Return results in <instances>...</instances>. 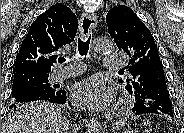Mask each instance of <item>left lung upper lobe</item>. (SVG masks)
Instances as JSON below:
<instances>
[{
	"instance_id": "1",
	"label": "left lung upper lobe",
	"mask_w": 184,
	"mask_h": 133,
	"mask_svg": "<svg viewBox=\"0 0 184 133\" xmlns=\"http://www.w3.org/2000/svg\"><path fill=\"white\" fill-rule=\"evenodd\" d=\"M106 22L117 47L132 57L127 66L132 78L126 79V89L131 94L140 90L154 76L157 68L152 65L155 60H159L162 67L157 45L150 30L127 6L112 8L106 15Z\"/></svg>"
}]
</instances>
